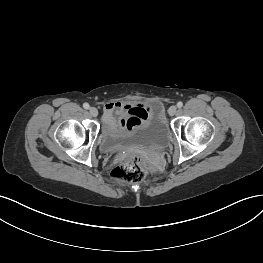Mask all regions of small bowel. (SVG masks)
<instances>
[{
	"instance_id": "1",
	"label": "small bowel",
	"mask_w": 263,
	"mask_h": 263,
	"mask_svg": "<svg viewBox=\"0 0 263 263\" xmlns=\"http://www.w3.org/2000/svg\"><path fill=\"white\" fill-rule=\"evenodd\" d=\"M115 113H125L126 117L122 118V120L125 126L131 127L145 116L146 109L142 104L109 103L104 107L105 122L112 123Z\"/></svg>"
}]
</instances>
